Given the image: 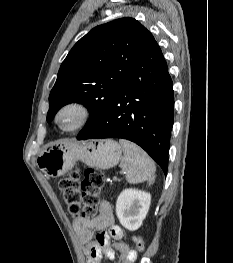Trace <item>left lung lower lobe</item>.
<instances>
[{
	"label": "left lung lower lobe",
	"mask_w": 233,
	"mask_h": 263,
	"mask_svg": "<svg viewBox=\"0 0 233 263\" xmlns=\"http://www.w3.org/2000/svg\"><path fill=\"white\" fill-rule=\"evenodd\" d=\"M173 118V83L161 49L154 41L98 123L80 139L130 140L142 147L166 175Z\"/></svg>",
	"instance_id": "obj_1"
}]
</instances>
